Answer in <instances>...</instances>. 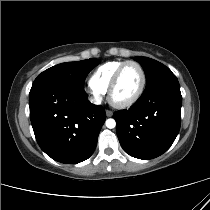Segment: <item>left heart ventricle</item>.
Here are the masks:
<instances>
[{
  "instance_id": "1",
  "label": "left heart ventricle",
  "mask_w": 210,
  "mask_h": 210,
  "mask_svg": "<svg viewBox=\"0 0 210 210\" xmlns=\"http://www.w3.org/2000/svg\"><path fill=\"white\" fill-rule=\"evenodd\" d=\"M141 83V73L137 66L127 65L120 76L119 83L114 91L115 101L122 102L131 98L138 90Z\"/></svg>"
}]
</instances>
